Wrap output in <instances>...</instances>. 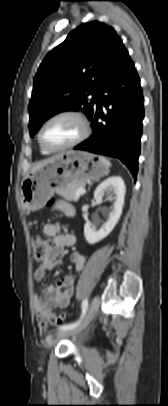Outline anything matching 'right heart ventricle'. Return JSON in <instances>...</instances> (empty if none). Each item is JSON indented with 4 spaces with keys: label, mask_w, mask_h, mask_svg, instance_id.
<instances>
[{
    "label": "right heart ventricle",
    "mask_w": 168,
    "mask_h": 406,
    "mask_svg": "<svg viewBox=\"0 0 168 406\" xmlns=\"http://www.w3.org/2000/svg\"><path fill=\"white\" fill-rule=\"evenodd\" d=\"M40 151H41V153L44 154V155H48V154L51 153L50 151L45 150V149H44L43 147H41V146H40Z\"/></svg>",
    "instance_id": "1"
}]
</instances>
